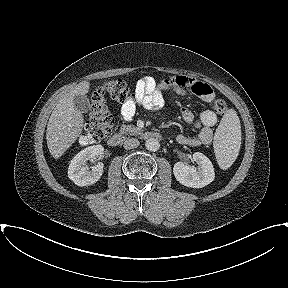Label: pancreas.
<instances>
[{
  "label": "pancreas",
  "instance_id": "1",
  "mask_svg": "<svg viewBox=\"0 0 288 288\" xmlns=\"http://www.w3.org/2000/svg\"><path fill=\"white\" fill-rule=\"evenodd\" d=\"M141 129L134 125H122L120 128V132L122 134H137Z\"/></svg>",
  "mask_w": 288,
  "mask_h": 288
}]
</instances>
